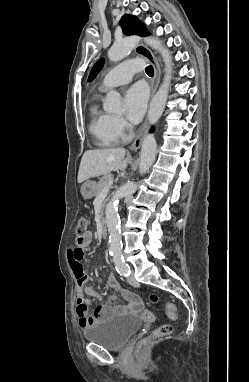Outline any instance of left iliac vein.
Instances as JSON below:
<instances>
[{"mask_svg":"<svg viewBox=\"0 0 249 382\" xmlns=\"http://www.w3.org/2000/svg\"><path fill=\"white\" fill-rule=\"evenodd\" d=\"M127 281H128V283L131 284V285H134V284L137 283V281H136V279L134 278L133 274H131V275H129V276L127 277Z\"/></svg>","mask_w":249,"mask_h":382,"instance_id":"1","label":"left iliac vein"}]
</instances>
